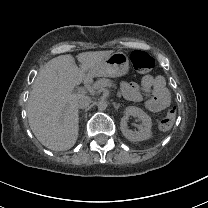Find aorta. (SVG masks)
Wrapping results in <instances>:
<instances>
[{"label":"aorta","mask_w":208,"mask_h":208,"mask_svg":"<svg viewBox=\"0 0 208 208\" xmlns=\"http://www.w3.org/2000/svg\"><path fill=\"white\" fill-rule=\"evenodd\" d=\"M98 109H99V110H104V109H105V102H104V101H101V102L98 104Z\"/></svg>","instance_id":"aorta-1"}]
</instances>
